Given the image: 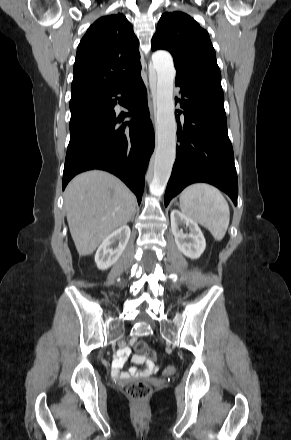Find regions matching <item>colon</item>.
Here are the masks:
<instances>
[{"label": "colon", "instance_id": "5ec220e1", "mask_svg": "<svg viewBox=\"0 0 291 440\" xmlns=\"http://www.w3.org/2000/svg\"><path fill=\"white\" fill-rule=\"evenodd\" d=\"M155 353L148 348L145 341H138L135 344V356L134 359H140L144 357L153 358ZM151 393L150 386L144 381H135L129 384L127 388V396L134 403L141 405L149 397Z\"/></svg>", "mask_w": 291, "mask_h": 440}]
</instances>
